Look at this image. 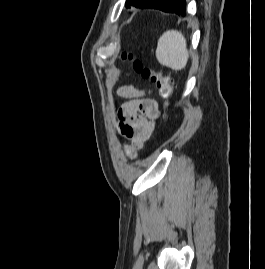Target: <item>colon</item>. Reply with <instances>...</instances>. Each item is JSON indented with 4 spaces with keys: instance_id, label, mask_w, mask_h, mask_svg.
<instances>
[{
    "instance_id": "1",
    "label": "colon",
    "mask_w": 265,
    "mask_h": 269,
    "mask_svg": "<svg viewBox=\"0 0 265 269\" xmlns=\"http://www.w3.org/2000/svg\"><path fill=\"white\" fill-rule=\"evenodd\" d=\"M129 58L133 60L131 55H127L126 53L123 54V59ZM133 67L134 70L140 74L144 79H147L155 84L159 96L167 101L171 95L173 94V84L169 76L161 73V72H154L148 67L144 66V64L139 60H133ZM166 106V104H165ZM121 131L124 136L127 138H131L134 134V128L129 124L122 122Z\"/></svg>"
}]
</instances>
